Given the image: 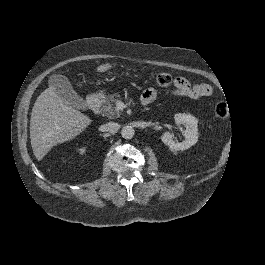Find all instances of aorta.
I'll list each match as a JSON object with an SVG mask.
<instances>
[{"label": "aorta", "instance_id": "aorta-1", "mask_svg": "<svg viewBox=\"0 0 265 265\" xmlns=\"http://www.w3.org/2000/svg\"><path fill=\"white\" fill-rule=\"evenodd\" d=\"M134 129L132 126H124L121 130V135L125 139H131L134 136Z\"/></svg>", "mask_w": 265, "mask_h": 265}]
</instances>
